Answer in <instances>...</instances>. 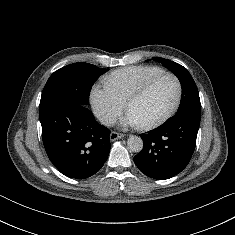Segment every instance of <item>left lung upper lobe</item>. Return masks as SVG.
<instances>
[{"instance_id":"5c2ea615","label":"left lung upper lobe","mask_w":235,"mask_h":235,"mask_svg":"<svg viewBox=\"0 0 235 235\" xmlns=\"http://www.w3.org/2000/svg\"><path fill=\"white\" fill-rule=\"evenodd\" d=\"M155 60L162 62L164 66H166L173 74L177 76L181 83L182 101L179 110L174 117L184 114L201 115L199 92L188 70L182 65L167 59L156 57Z\"/></svg>"}]
</instances>
